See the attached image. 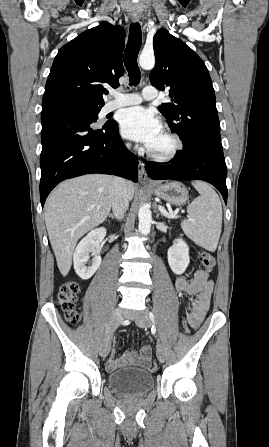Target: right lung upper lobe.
<instances>
[{
    "label": "right lung upper lobe",
    "instance_id": "obj_1",
    "mask_svg": "<svg viewBox=\"0 0 269 447\" xmlns=\"http://www.w3.org/2000/svg\"><path fill=\"white\" fill-rule=\"evenodd\" d=\"M125 32L104 21L64 45L46 82L42 110L77 104L104 105L103 83L119 86Z\"/></svg>",
    "mask_w": 269,
    "mask_h": 447
}]
</instances>
